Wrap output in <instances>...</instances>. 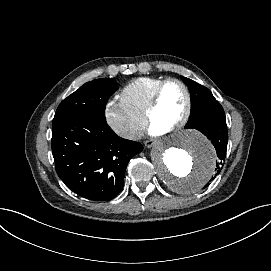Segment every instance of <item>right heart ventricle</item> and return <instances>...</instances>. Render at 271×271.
<instances>
[{
  "label": "right heart ventricle",
  "instance_id": "e07e8e85",
  "mask_svg": "<svg viewBox=\"0 0 271 271\" xmlns=\"http://www.w3.org/2000/svg\"><path fill=\"white\" fill-rule=\"evenodd\" d=\"M163 79L161 76L136 78L122 88L121 96L133 112L145 116L152 93Z\"/></svg>",
  "mask_w": 271,
  "mask_h": 271
}]
</instances>
